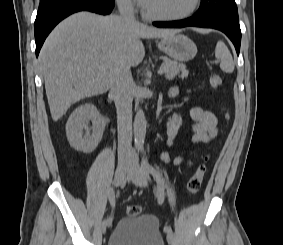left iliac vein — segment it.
Instances as JSON below:
<instances>
[{"instance_id":"left-iliac-vein-1","label":"left iliac vein","mask_w":283,"mask_h":245,"mask_svg":"<svg viewBox=\"0 0 283 245\" xmlns=\"http://www.w3.org/2000/svg\"><path fill=\"white\" fill-rule=\"evenodd\" d=\"M130 167L131 169L128 174L130 178L132 179V181L134 182V184L141 188L146 187L148 184V175L146 171L143 169V167L140 166L137 156L135 155L132 156ZM173 240H174L173 233L172 232L167 233L168 243L172 244Z\"/></svg>"}]
</instances>
